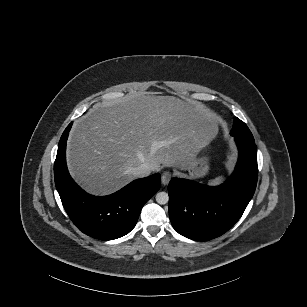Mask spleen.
Listing matches in <instances>:
<instances>
[{"mask_svg": "<svg viewBox=\"0 0 307 307\" xmlns=\"http://www.w3.org/2000/svg\"><path fill=\"white\" fill-rule=\"evenodd\" d=\"M226 181H227L226 175L221 174L215 177L214 179L209 180L207 183V187L216 188L226 183Z\"/></svg>", "mask_w": 307, "mask_h": 307, "instance_id": "obj_1", "label": "spleen"}]
</instances>
